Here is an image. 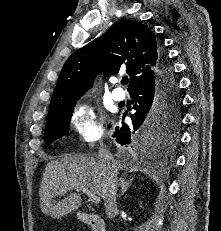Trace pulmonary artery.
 Segmentation results:
<instances>
[{
  "label": "pulmonary artery",
  "mask_w": 221,
  "mask_h": 231,
  "mask_svg": "<svg viewBox=\"0 0 221 231\" xmlns=\"http://www.w3.org/2000/svg\"><path fill=\"white\" fill-rule=\"evenodd\" d=\"M112 98L115 101H122L125 99V92L121 88H115L112 91Z\"/></svg>",
  "instance_id": "e3ab8cb5"
}]
</instances>
